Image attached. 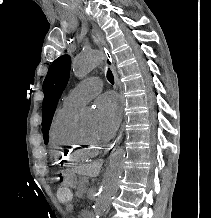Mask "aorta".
Masks as SVG:
<instances>
[{
	"mask_svg": "<svg viewBox=\"0 0 211 218\" xmlns=\"http://www.w3.org/2000/svg\"><path fill=\"white\" fill-rule=\"evenodd\" d=\"M102 60L103 55L100 51L90 50L81 53L72 63L74 75L79 78L85 77L90 71L101 64ZM96 123L97 117L92 111L86 110L80 115L79 126L82 129L90 130L95 127ZM124 161L125 151L123 148H119L110 158L101 183L100 192L95 200L93 211L96 218H99L109 207L112 197L117 192L123 173Z\"/></svg>",
	"mask_w": 211,
	"mask_h": 218,
	"instance_id": "1",
	"label": "aorta"
}]
</instances>
